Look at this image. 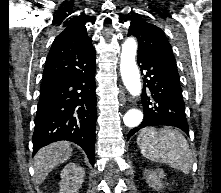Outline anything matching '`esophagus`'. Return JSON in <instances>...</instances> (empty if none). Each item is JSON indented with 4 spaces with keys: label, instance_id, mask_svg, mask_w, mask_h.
Wrapping results in <instances>:
<instances>
[{
    "label": "esophagus",
    "instance_id": "esophagus-1",
    "mask_svg": "<svg viewBox=\"0 0 221 193\" xmlns=\"http://www.w3.org/2000/svg\"><path fill=\"white\" fill-rule=\"evenodd\" d=\"M128 100L133 102V100L131 98H128Z\"/></svg>",
    "mask_w": 221,
    "mask_h": 193
}]
</instances>
